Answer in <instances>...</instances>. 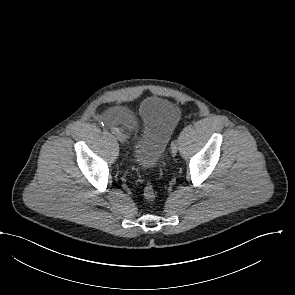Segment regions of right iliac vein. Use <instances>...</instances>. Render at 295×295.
Segmentation results:
<instances>
[{"label":"right iliac vein","mask_w":295,"mask_h":295,"mask_svg":"<svg viewBox=\"0 0 295 295\" xmlns=\"http://www.w3.org/2000/svg\"><path fill=\"white\" fill-rule=\"evenodd\" d=\"M117 139L121 143H125L127 141V136L123 132H119V133H117Z\"/></svg>","instance_id":"63e3f726"}]
</instances>
